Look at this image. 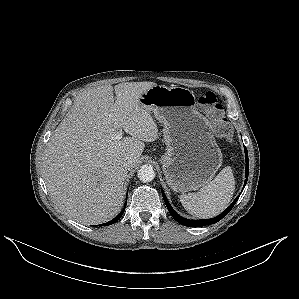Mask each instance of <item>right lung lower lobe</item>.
<instances>
[{
	"mask_svg": "<svg viewBox=\"0 0 299 299\" xmlns=\"http://www.w3.org/2000/svg\"><path fill=\"white\" fill-rule=\"evenodd\" d=\"M125 206H126V205H125ZM124 210H125V208H124L123 211H122L121 213H119L113 220H111V221H109V222H107V223L101 224L100 226H107V225L114 224L115 222H117V221L121 218V216H122Z\"/></svg>",
	"mask_w": 299,
	"mask_h": 299,
	"instance_id": "98d812e1",
	"label": "right lung lower lobe"
}]
</instances>
